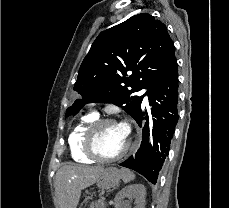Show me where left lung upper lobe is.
<instances>
[{"instance_id": "obj_1", "label": "left lung upper lobe", "mask_w": 229, "mask_h": 208, "mask_svg": "<svg viewBox=\"0 0 229 208\" xmlns=\"http://www.w3.org/2000/svg\"><path fill=\"white\" fill-rule=\"evenodd\" d=\"M176 70L175 47L166 26L148 13L135 15L95 39L73 87L82 99L65 116L77 114L86 103L102 102L114 103L134 118L143 96L133 93L162 85Z\"/></svg>"}]
</instances>
